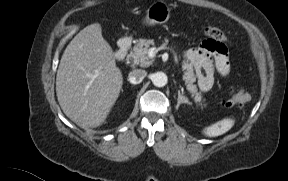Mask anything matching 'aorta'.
I'll return each mask as SVG.
<instances>
[{
    "label": "aorta",
    "mask_w": 288,
    "mask_h": 181,
    "mask_svg": "<svg viewBox=\"0 0 288 181\" xmlns=\"http://www.w3.org/2000/svg\"><path fill=\"white\" fill-rule=\"evenodd\" d=\"M152 83L156 87H164L167 84V75L163 72H156L151 76Z\"/></svg>",
    "instance_id": "1"
}]
</instances>
